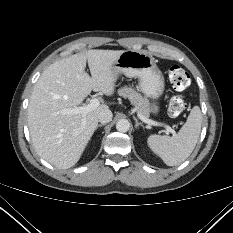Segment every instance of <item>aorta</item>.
<instances>
[{
  "instance_id": "762f6f07",
  "label": "aorta",
  "mask_w": 233,
  "mask_h": 233,
  "mask_svg": "<svg viewBox=\"0 0 233 233\" xmlns=\"http://www.w3.org/2000/svg\"><path fill=\"white\" fill-rule=\"evenodd\" d=\"M130 128V123L128 120L126 119H120L118 120V122L116 123V129L119 132H127Z\"/></svg>"
}]
</instances>
